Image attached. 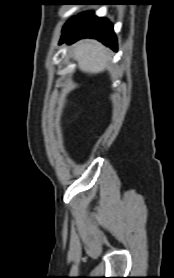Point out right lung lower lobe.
<instances>
[{
    "mask_svg": "<svg viewBox=\"0 0 174 278\" xmlns=\"http://www.w3.org/2000/svg\"><path fill=\"white\" fill-rule=\"evenodd\" d=\"M81 38H95L113 50H117V41L113 25L104 18L86 12L72 17L63 28L61 43H73Z\"/></svg>",
    "mask_w": 174,
    "mask_h": 278,
    "instance_id": "obj_1",
    "label": "right lung lower lobe"
}]
</instances>
